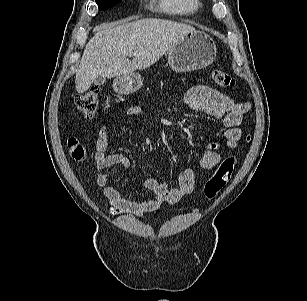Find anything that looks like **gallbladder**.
Returning a JSON list of instances; mask_svg holds the SVG:
<instances>
[{
	"instance_id": "obj_1",
	"label": "gallbladder",
	"mask_w": 307,
	"mask_h": 301,
	"mask_svg": "<svg viewBox=\"0 0 307 301\" xmlns=\"http://www.w3.org/2000/svg\"><path fill=\"white\" fill-rule=\"evenodd\" d=\"M105 81L106 79L104 77L99 76L94 80V84L100 86L103 85Z\"/></svg>"
}]
</instances>
